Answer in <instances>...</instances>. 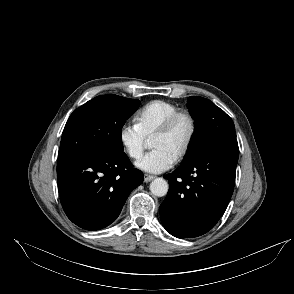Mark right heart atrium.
I'll list each match as a JSON object with an SVG mask.
<instances>
[{"label": "right heart atrium", "instance_id": "1", "mask_svg": "<svg viewBox=\"0 0 294 294\" xmlns=\"http://www.w3.org/2000/svg\"><path fill=\"white\" fill-rule=\"evenodd\" d=\"M119 142L132 159H139L147 142V137L135 123L126 122L119 130Z\"/></svg>", "mask_w": 294, "mask_h": 294}]
</instances>
